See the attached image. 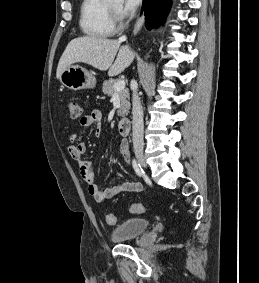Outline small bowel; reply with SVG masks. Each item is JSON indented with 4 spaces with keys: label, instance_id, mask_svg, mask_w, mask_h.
Instances as JSON below:
<instances>
[{
    "label": "small bowel",
    "instance_id": "1",
    "mask_svg": "<svg viewBox=\"0 0 259 283\" xmlns=\"http://www.w3.org/2000/svg\"><path fill=\"white\" fill-rule=\"evenodd\" d=\"M102 113L100 110L95 109L89 114L85 115L80 120V125L83 127H95V136L97 138L101 135V125ZM75 134L71 135L74 138ZM86 152V144L83 142L77 143L75 145L68 146L69 156L78 163V171L81 179L87 185L88 193L99 203H103L108 199L122 192H141L143 186L140 182L135 181H123L118 185L108 187L104 190L96 184L94 179L93 164L91 160H83L82 155ZM119 153L122 159L126 163L131 162V155L129 152V146L127 140L123 139L119 143ZM119 176V175H117Z\"/></svg>",
    "mask_w": 259,
    "mask_h": 283
}]
</instances>
